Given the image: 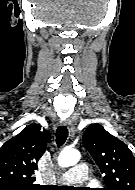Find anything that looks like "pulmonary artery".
Instances as JSON below:
<instances>
[{"mask_svg": "<svg viewBox=\"0 0 135 190\" xmlns=\"http://www.w3.org/2000/svg\"><path fill=\"white\" fill-rule=\"evenodd\" d=\"M88 178V166L85 163H77L59 176L62 183H81Z\"/></svg>", "mask_w": 135, "mask_h": 190, "instance_id": "1", "label": "pulmonary artery"}]
</instances>
